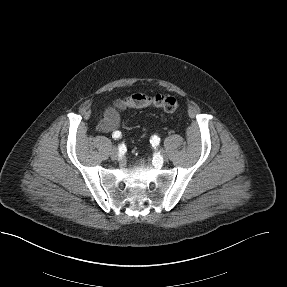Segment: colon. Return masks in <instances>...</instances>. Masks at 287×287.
Returning a JSON list of instances; mask_svg holds the SVG:
<instances>
[{"label":"colon","instance_id":"obj_1","mask_svg":"<svg viewBox=\"0 0 287 287\" xmlns=\"http://www.w3.org/2000/svg\"><path fill=\"white\" fill-rule=\"evenodd\" d=\"M114 105L118 110L155 107L166 112H175L179 107L177 99L170 94L147 95L144 93H134L118 99Z\"/></svg>","mask_w":287,"mask_h":287}]
</instances>
